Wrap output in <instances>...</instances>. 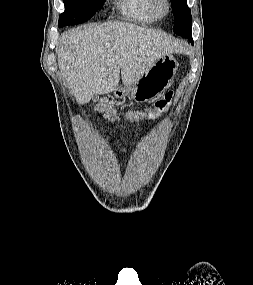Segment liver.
<instances>
[{
	"instance_id": "liver-1",
	"label": "liver",
	"mask_w": 253,
	"mask_h": 285,
	"mask_svg": "<svg viewBox=\"0 0 253 285\" xmlns=\"http://www.w3.org/2000/svg\"><path fill=\"white\" fill-rule=\"evenodd\" d=\"M182 46L164 32L125 22L69 30L57 52L58 65L82 105L93 95L108 94L120 82L129 86L158 59L180 53Z\"/></svg>"
}]
</instances>
